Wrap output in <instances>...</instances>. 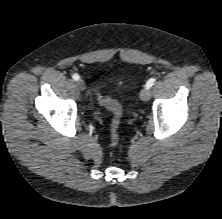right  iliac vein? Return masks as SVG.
<instances>
[{
    "label": "right iliac vein",
    "mask_w": 222,
    "mask_h": 219,
    "mask_svg": "<svg viewBox=\"0 0 222 219\" xmlns=\"http://www.w3.org/2000/svg\"><path fill=\"white\" fill-rule=\"evenodd\" d=\"M76 85L80 90L85 89V82L82 79H78L77 82H76Z\"/></svg>",
    "instance_id": "1"
}]
</instances>
